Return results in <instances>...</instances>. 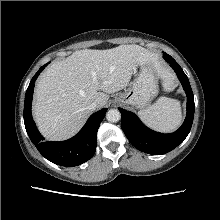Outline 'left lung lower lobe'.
Instances as JSON below:
<instances>
[{"mask_svg":"<svg viewBox=\"0 0 220 220\" xmlns=\"http://www.w3.org/2000/svg\"><path fill=\"white\" fill-rule=\"evenodd\" d=\"M163 57L176 72L187 95V115L182 126L171 134L158 133L144 126L132 112L119 108L121 127L128 140L138 150L152 155L168 153L180 145L189 134L194 117V96L186 74L170 55L163 52Z\"/></svg>","mask_w":220,"mask_h":220,"instance_id":"0a47b994","label":"left lung lower lobe"}]
</instances>
